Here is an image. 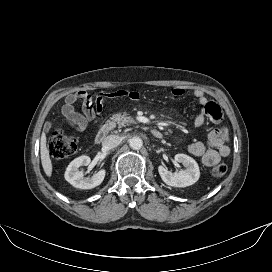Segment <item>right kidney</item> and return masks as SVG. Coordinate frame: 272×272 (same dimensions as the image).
<instances>
[{
    "label": "right kidney",
    "instance_id": "obj_1",
    "mask_svg": "<svg viewBox=\"0 0 272 272\" xmlns=\"http://www.w3.org/2000/svg\"><path fill=\"white\" fill-rule=\"evenodd\" d=\"M91 162L89 156L82 155L74 159L65 171V179L74 187L80 189H92L99 186L105 177V170L102 169L95 173L91 178L84 177L83 172L79 171L81 166H87Z\"/></svg>",
    "mask_w": 272,
    "mask_h": 272
}]
</instances>
